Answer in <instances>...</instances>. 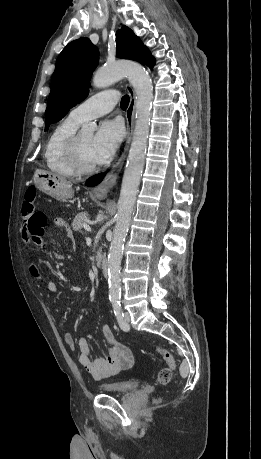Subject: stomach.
Segmentation results:
<instances>
[{
    "instance_id": "1",
    "label": "stomach",
    "mask_w": 261,
    "mask_h": 459,
    "mask_svg": "<svg viewBox=\"0 0 261 459\" xmlns=\"http://www.w3.org/2000/svg\"><path fill=\"white\" fill-rule=\"evenodd\" d=\"M33 180L36 188L55 199L67 200L74 195L72 185L58 174L35 170Z\"/></svg>"
}]
</instances>
